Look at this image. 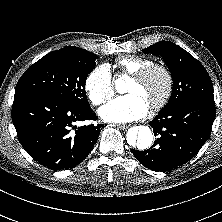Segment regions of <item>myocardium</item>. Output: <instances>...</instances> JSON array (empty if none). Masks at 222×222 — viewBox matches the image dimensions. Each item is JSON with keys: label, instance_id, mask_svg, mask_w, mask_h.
<instances>
[{"label": "myocardium", "instance_id": "myocardium-1", "mask_svg": "<svg viewBox=\"0 0 222 222\" xmlns=\"http://www.w3.org/2000/svg\"><path fill=\"white\" fill-rule=\"evenodd\" d=\"M154 72H160L165 77V89L162 96L150 106L151 110L156 111L163 108L172 96L174 89V77L171 70L165 65L152 63L151 65H148L134 73L131 78L135 81L143 82Z\"/></svg>", "mask_w": 222, "mask_h": 222}]
</instances>
